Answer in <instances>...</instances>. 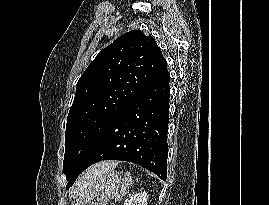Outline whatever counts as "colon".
Segmentation results:
<instances>
[{
  "label": "colon",
  "mask_w": 269,
  "mask_h": 205,
  "mask_svg": "<svg viewBox=\"0 0 269 205\" xmlns=\"http://www.w3.org/2000/svg\"><path fill=\"white\" fill-rule=\"evenodd\" d=\"M107 205H115V204H113V203H110V204H107Z\"/></svg>",
  "instance_id": "1"
}]
</instances>
